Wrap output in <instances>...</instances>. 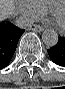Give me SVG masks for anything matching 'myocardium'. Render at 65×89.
Wrapping results in <instances>:
<instances>
[{
  "label": "myocardium",
  "instance_id": "myocardium-1",
  "mask_svg": "<svg viewBox=\"0 0 65 89\" xmlns=\"http://www.w3.org/2000/svg\"><path fill=\"white\" fill-rule=\"evenodd\" d=\"M60 5H65L63 4L62 2L60 1H56V2H53L49 7H48V10H47V13H48V16H49V20L50 22L56 26L59 30H65V24L64 25H59L57 24L55 21H54V12L56 10V8Z\"/></svg>",
  "mask_w": 65,
  "mask_h": 89
}]
</instances>
